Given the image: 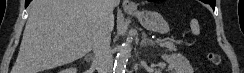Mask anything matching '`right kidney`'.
I'll list each match as a JSON object with an SVG mask.
<instances>
[{
    "mask_svg": "<svg viewBox=\"0 0 244 73\" xmlns=\"http://www.w3.org/2000/svg\"><path fill=\"white\" fill-rule=\"evenodd\" d=\"M60 73H77V69L76 68H68V69H64L63 71H60Z\"/></svg>",
    "mask_w": 244,
    "mask_h": 73,
    "instance_id": "right-kidney-1",
    "label": "right kidney"
}]
</instances>
